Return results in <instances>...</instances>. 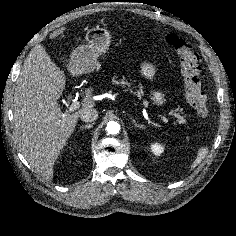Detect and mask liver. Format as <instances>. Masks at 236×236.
Returning a JSON list of instances; mask_svg holds the SVG:
<instances>
[{"label": "liver", "instance_id": "1", "mask_svg": "<svg viewBox=\"0 0 236 236\" xmlns=\"http://www.w3.org/2000/svg\"><path fill=\"white\" fill-rule=\"evenodd\" d=\"M62 31L51 34L56 37ZM72 77L83 74L68 62ZM64 72L50 59L41 45H35L26 57L16 82L13 97L14 136L22 155L45 180L53 178V166L73 133L80 113L93 108L92 90L88 89L81 108L63 113L57 103L65 89Z\"/></svg>", "mask_w": 236, "mask_h": 236}]
</instances>
